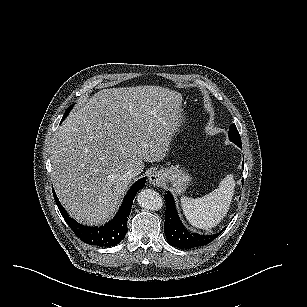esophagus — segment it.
Returning a JSON list of instances; mask_svg holds the SVG:
<instances>
[{"instance_id":"obj_1","label":"esophagus","mask_w":307,"mask_h":307,"mask_svg":"<svg viewBox=\"0 0 307 307\" xmlns=\"http://www.w3.org/2000/svg\"><path fill=\"white\" fill-rule=\"evenodd\" d=\"M164 173L162 171H153L149 176V182L153 186H160L163 182Z\"/></svg>"}]
</instances>
